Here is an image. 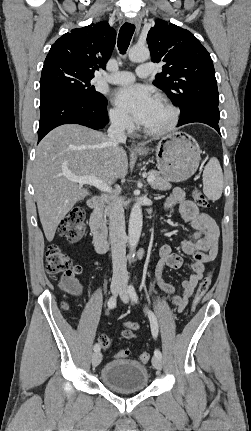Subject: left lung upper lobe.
I'll list each match as a JSON object with an SVG mask.
<instances>
[{"label": "left lung upper lobe", "instance_id": "5c2ea615", "mask_svg": "<svg viewBox=\"0 0 251 431\" xmlns=\"http://www.w3.org/2000/svg\"><path fill=\"white\" fill-rule=\"evenodd\" d=\"M153 62H165L153 84L166 92L181 117L192 109L218 106L219 94L210 54L188 30L155 20L147 35Z\"/></svg>", "mask_w": 251, "mask_h": 431}]
</instances>
